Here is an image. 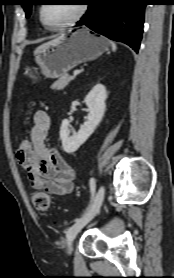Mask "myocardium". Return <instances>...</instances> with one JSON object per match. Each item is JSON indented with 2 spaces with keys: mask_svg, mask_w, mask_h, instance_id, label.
Returning a JSON list of instances; mask_svg holds the SVG:
<instances>
[{
  "mask_svg": "<svg viewBox=\"0 0 174 278\" xmlns=\"http://www.w3.org/2000/svg\"><path fill=\"white\" fill-rule=\"evenodd\" d=\"M44 6L45 5H41L40 8H39V18H40L41 23L47 29L52 30V31H58V30H61L65 27H68V26L74 24L75 22H77L78 20H80L84 16V14L86 13L87 8H88L86 3H82V4H80L79 10L74 17H72L68 21H66V22H64V23H62L58 26H51L46 22V20L44 18V15H43Z\"/></svg>",
  "mask_w": 174,
  "mask_h": 278,
  "instance_id": "myocardium-1",
  "label": "myocardium"
}]
</instances>
